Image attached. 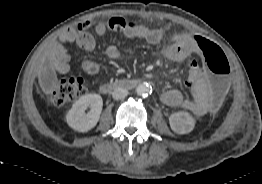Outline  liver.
Returning <instances> with one entry per match:
<instances>
[{
    "instance_id": "1",
    "label": "liver",
    "mask_w": 262,
    "mask_h": 184,
    "mask_svg": "<svg viewBox=\"0 0 262 184\" xmlns=\"http://www.w3.org/2000/svg\"><path fill=\"white\" fill-rule=\"evenodd\" d=\"M39 76H41L43 78H45L47 76V68L46 67H42ZM40 84H41V86L43 85V82L41 80H40Z\"/></svg>"
}]
</instances>
